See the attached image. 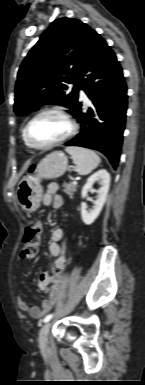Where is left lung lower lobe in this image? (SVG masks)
Here are the masks:
<instances>
[{"label":"left lung lower lobe","instance_id":"obj_1","mask_svg":"<svg viewBox=\"0 0 145 385\" xmlns=\"http://www.w3.org/2000/svg\"><path fill=\"white\" fill-rule=\"evenodd\" d=\"M80 88L94 106L85 111L79 102L74 117L81 132L65 145L100 151L116 167L125 129L127 86L115 53L97 33L80 73Z\"/></svg>","mask_w":145,"mask_h":385}]
</instances>
